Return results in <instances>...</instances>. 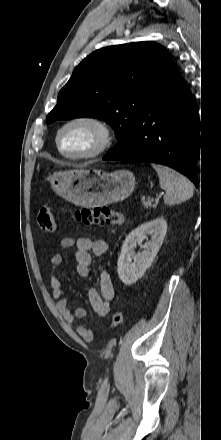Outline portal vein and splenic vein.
<instances>
[{
  "label": "portal vein and splenic vein",
  "mask_w": 221,
  "mask_h": 440,
  "mask_svg": "<svg viewBox=\"0 0 221 440\" xmlns=\"http://www.w3.org/2000/svg\"><path fill=\"white\" fill-rule=\"evenodd\" d=\"M162 194H163V193L159 194V195H158V196L156 197V199H155V200H156V202H158V201H159V199H160V197L162 196Z\"/></svg>",
  "instance_id": "obj_1"
}]
</instances>
